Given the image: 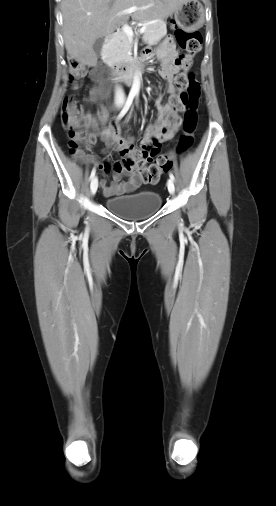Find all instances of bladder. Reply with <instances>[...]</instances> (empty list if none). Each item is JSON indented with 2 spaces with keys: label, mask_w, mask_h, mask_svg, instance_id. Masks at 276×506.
<instances>
[{
  "label": "bladder",
  "mask_w": 276,
  "mask_h": 506,
  "mask_svg": "<svg viewBox=\"0 0 276 506\" xmlns=\"http://www.w3.org/2000/svg\"><path fill=\"white\" fill-rule=\"evenodd\" d=\"M161 204V195L149 190H141L105 200V205L109 211L126 219L148 217L156 213Z\"/></svg>",
  "instance_id": "1"
}]
</instances>
